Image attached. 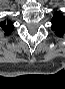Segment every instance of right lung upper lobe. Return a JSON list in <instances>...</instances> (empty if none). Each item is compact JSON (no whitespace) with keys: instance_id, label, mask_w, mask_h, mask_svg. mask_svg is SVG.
I'll use <instances>...</instances> for the list:
<instances>
[{"instance_id":"cb5924a9","label":"right lung upper lobe","mask_w":65,"mask_h":89,"mask_svg":"<svg viewBox=\"0 0 65 89\" xmlns=\"http://www.w3.org/2000/svg\"><path fill=\"white\" fill-rule=\"evenodd\" d=\"M0 26L3 28L5 35L10 34L14 30V26L11 21H3L0 23Z\"/></svg>"}]
</instances>
